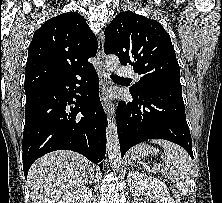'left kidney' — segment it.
<instances>
[{"instance_id":"1","label":"left kidney","mask_w":222,"mask_h":203,"mask_svg":"<svg viewBox=\"0 0 222 203\" xmlns=\"http://www.w3.org/2000/svg\"><path fill=\"white\" fill-rule=\"evenodd\" d=\"M127 181L132 195L143 197L140 203H172L169 189L160 179L138 171H130Z\"/></svg>"}]
</instances>
